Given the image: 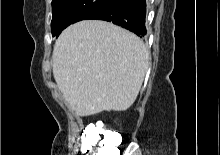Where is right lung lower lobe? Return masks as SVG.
<instances>
[{
  "mask_svg": "<svg viewBox=\"0 0 220 155\" xmlns=\"http://www.w3.org/2000/svg\"><path fill=\"white\" fill-rule=\"evenodd\" d=\"M145 16V0H119L115 4L90 15L87 19L112 22L138 36H144L146 34Z\"/></svg>",
  "mask_w": 220,
  "mask_h": 155,
  "instance_id": "1",
  "label": "right lung lower lobe"
}]
</instances>
